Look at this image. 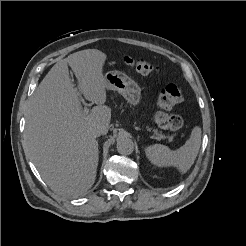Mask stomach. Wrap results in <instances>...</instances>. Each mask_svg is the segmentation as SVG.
Here are the masks:
<instances>
[{
    "label": "stomach",
    "mask_w": 246,
    "mask_h": 246,
    "mask_svg": "<svg viewBox=\"0 0 246 246\" xmlns=\"http://www.w3.org/2000/svg\"><path fill=\"white\" fill-rule=\"evenodd\" d=\"M104 79L108 90L117 91L133 106L140 103L141 89L132 78L120 71H109Z\"/></svg>",
    "instance_id": "obj_1"
}]
</instances>
